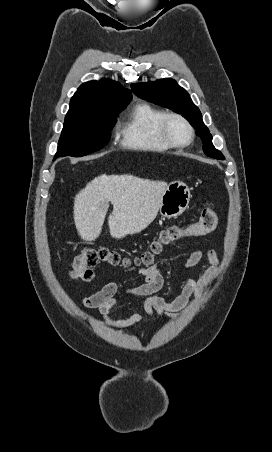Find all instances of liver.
<instances>
[{
	"instance_id": "1",
	"label": "liver",
	"mask_w": 272,
	"mask_h": 452,
	"mask_svg": "<svg viewBox=\"0 0 272 452\" xmlns=\"http://www.w3.org/2000/svg\"><path fill=\"white\" fill-rule=\"evenodd\" d=\"M167 183L133 175H100L74 198V222L85 241L99 237L109 208L108 226L113 238L140 233L156 218Z\"/></svg>"
}]
</instances>
